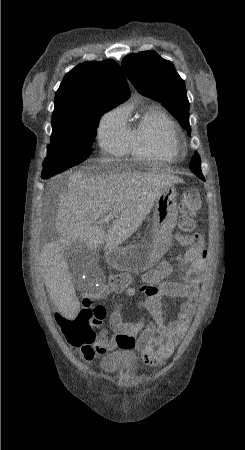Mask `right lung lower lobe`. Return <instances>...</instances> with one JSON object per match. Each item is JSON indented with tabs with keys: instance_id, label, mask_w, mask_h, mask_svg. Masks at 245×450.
Masks as SVG:
<instances>
[{
	"instance_id": "obj_1",
	"label": "right lung lower lobe",
	"mask_w": 245,
	"mask_h": 450,
	"mask_svg": "<svg viewBox=\"0 0 245 450\" xmlns=\"http://www.w3.org/2000/svg\"><path fill=\"white\" fill-rule=\"evenodd\" d=\"M43 179H48V178H46V177H42Z\"/></svg>"
}]
</instances>
